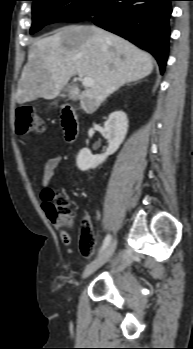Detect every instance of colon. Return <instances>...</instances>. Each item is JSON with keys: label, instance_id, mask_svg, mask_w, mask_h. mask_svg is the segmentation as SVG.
<instances>
[{"label": "colon", "instance_id": "5ec220e1", "mask_svg": "<svg viewBox=\"0 0 193 349\" xmlns=\"http://www.w3.org/2000/svg\"><path fill=\"white\" fill-rule=\"evenodd\" d=\"M15 129L18 135L25 137L28 135L41 136L45 132V124L39 113L31 106H20L16 111ZM45 210L49 216L62 223H71L72 214L68 206V201L63 196H54V201H47ZM92 242L89 239L88 243Z\"/></svg>", "mask_w": 193, "mask_h": 349}]
</instances>
